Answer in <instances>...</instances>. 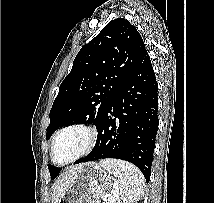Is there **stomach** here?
Segmentation results:
<instances>
[{"instance_id":"0dacf381","label":"stomach","mask_w":214,"mask_h":203,"mask_svg":"<svg viewBox=\"0 0 214 203\" xmlns=\"http://www.w3.org/2000/svg\"><path fill=\"white\" fill-rule=\"evenodd\" d=\"M113 184L111 174L100 164H82L73 184L62 193L58 203H100Z\"/></svg>"}]
</instances>
